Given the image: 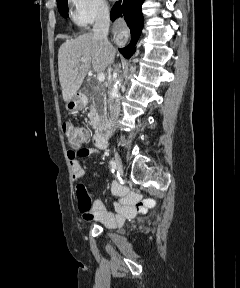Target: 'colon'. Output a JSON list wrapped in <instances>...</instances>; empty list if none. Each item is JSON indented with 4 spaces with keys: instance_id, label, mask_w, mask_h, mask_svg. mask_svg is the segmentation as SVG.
Segmentation results:
<instances>
[{
    "instance_id": "colon-1",
    "label": "colon",
    "mask_w": 240,
    "mask_h": 288,
    "mask_svg": "<svg viewBox=\"0 0 240 288\" xmlns=\"http://www.w3.org/2000/svg\"><path fill=\"white\" fill-rule=\"evenodd\" d=\"M63 132L71 146L81 145L86 140L85 130L66 121L62 125Z\"/></svg>"
}]
</instances>
